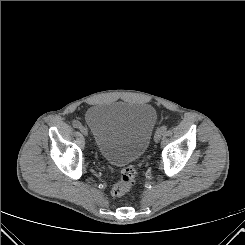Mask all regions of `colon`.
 Segmentation results:
<instances>
[{"mask_svg": "<svg viewBox=\"0 0 245 245\" xmlns=\"http://www.w3.org/2000/svg\"><path fill=\"white\" fill-rule=\"evenodd\" d=\"M136 175L137 169L135 166L129 165L123 168L119 181L112 186V196L115 198H119L129 192L135 183Z\"/></svg>", "mask_w": 245, "mask_h": 245, "instance_id": "5ec220e1", "label": "colon"}]
</instances>
